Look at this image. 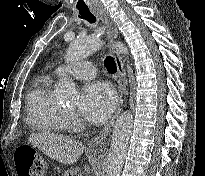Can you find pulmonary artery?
<instances>
[{"instance_id": "pulmonary-artery-1", "label": "pulmonary artery", "mask_w": 205, "mask_h": 176, "mask_svg": "<svg viewBox=\"0 0 205 176\" xmlns=\"http://www.w3.org/2000/svg\"><path fill=\"white\" fill-rule=\"evenodd\" d=\"M55 72L57 75L68 73L79 79H92L96 74L94 66L85 61H77L69 66H58Z\"/></svg>"}]
</instances>
